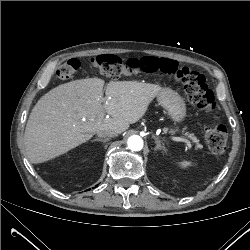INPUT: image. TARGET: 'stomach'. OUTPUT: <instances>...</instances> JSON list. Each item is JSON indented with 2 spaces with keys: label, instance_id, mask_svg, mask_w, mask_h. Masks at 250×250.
<instances>
[{
  "label": "stomach",
  "instance_id": "0dacf381",
  "mask_svg": "<svg viewBox=\"0 0 250 250\" xmlns=\"http://www.w3.org/2000/svg\"><path fill=\"white\" fill-rule=\"evenodd\" d=\"M157 99L159 104L168 112L169 117L177 123L186 117V104L182 97L171 89H162ZM177 130V129H176Z\"/></svg>",
  "mask_w": 250,
  "mask_h": 250
}]
</instances>
